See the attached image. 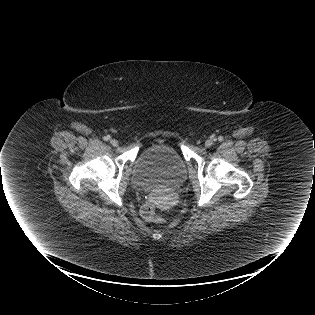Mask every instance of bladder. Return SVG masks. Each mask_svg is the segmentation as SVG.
Here are the masks:
<instances>
[{
	"instance_id": "obj_1",
	"label": "bladder",
	"mask_w": 315,
	"mask_h": 315,
	"mask_svg": "<svg viewBox=\"0 0 315 315\" xmlns=\"http://www.w3.org/2000/svg\"><path fill=\"white\" fill-rule=\"evenodd\" d=\"M186 178V166L175 148L155 144L138 157L132 176L133 186L142 190L176 187Z\"/></svg>"
}]
</instances>
